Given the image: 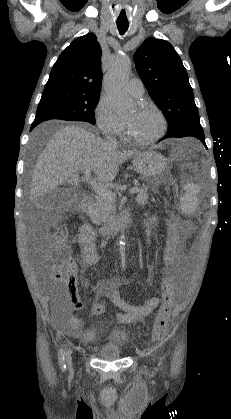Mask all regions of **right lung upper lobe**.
Instances as JSON below:
<instances>
[{
    "label": "right lung upper lobe",
    "instance_id": "right-lung-upper-lobe-1",
    "mask_svg": "<svg viewBox=\"0 0 231 419\" xmlns=\"http://www.w3.org/2000/svg\"><path fill=\"white\" fill-rule=\"evenodd\" d=\"M101 53L94 34L88 33L75 39L55 62L45 87L100 93Z\"/></svg>",
    "mask_w": 231,
    "mask_h": 419
}]
</instances>
